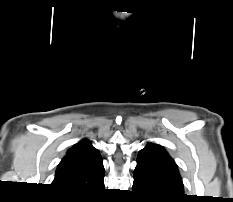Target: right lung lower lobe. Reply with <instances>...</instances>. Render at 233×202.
<instances>
[{
  "instance_id": "98d812e1",
  "label": "right lung lower lobe",
  "mask_w": 233,
  "mask_h": 202,
  "mask_svg": "<svg viewBox=\"0 0 233 202\" xmlns=\"http://www.w3.org/2000/svg\"><path fill=\"white\" fill-rule=\"evenodd\" d=\"M104 188H102V189H100V190H98L97 192H95V193H93V194H91V195H89V196H95V195H97L101 190H103ZM62 192V191H61ZM64 193H66V192H64Z\"/></svg>"
}]
</instances>
